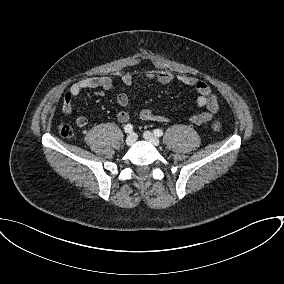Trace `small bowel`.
<instances>
[{"label":"small bowel","instance_id":"c3829d8e","mask_svg":"<svg viewBox=\"0 0 284 284\" xmlns=\"http://www.w3.org/2000/svg\"><path fill=\"white\" fill-rule=\"evenodd\" d=\"M146 77L154 79L161 84L177 81L187 87L193 88L197 93L196 106L206 109V111L199 112L190 118V121L195 125H201L211 121L219 111L218 98L212 93L209 85L203 81H199L189 75H175L169 71H150L146 74ZM119 81L124 86H130L134 82V77L130 73H124L121 75ZM114 85V79L108 76H91L73 83L63 97V112L66 114L72 113V101L83 90H94L96 95L103 96L105 92L112 89ZM116 101L120 107L116 114L117 120L121 123H125L130 117L129 111L126 109L129 103L128 96L125 93H119ZM140 118L148 122H169V119L155 113L151 109H143L140 112ZM76 123L79 127H84L87 125L88 120L86 117L80 116L76 119Z\"/></svg>","mask_w":284,"mask_h":284}]
</instances>
